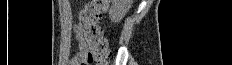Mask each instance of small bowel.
Returning <instances> with one entry per match:
<instances>
[{"label":"small bowel","mask_w":232,"mask_h":65,"mask_svg":"<svg viewBox=\"0 0 232 65\" xmlns=\"http://www.w3.org/2000/svg\"><path fill=\"white\" fill-rule=\"evenodd\" d=\"M74 34L76 40L79 42V51L73 56L70 61L71 65H85L88 63L87 51H86V38L85 32L81 23L77 24L74 28Z\"/></svg>","instance_id":"obj_1"}]
</instances>
